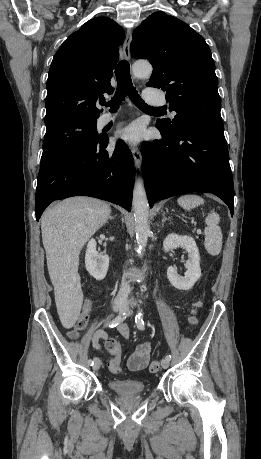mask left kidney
Returning a JSON list of instances; mask_svg holds the SVG:
<instances>
[{"label":"left kidney","instance_id":"left-kidney-1","mask_svg":"<svg viewBox=\"0 0 261 459\" xmlns=\"http://www.w3.org/2000/svg\"><path fill=\"white\" fill-rule=\"evenodd\" d=\"M179 246L188 252V260L185 264L187 271L185 276L182 277L178 275L177 270L173 266H169L167 269V278L171 285L176 289L189 290L201 277L199 250L195 240L190 236L169 234L163 241V249L165 252Z\"/></svg>","mask_w":261,"mask_h":459}]
</instances>
